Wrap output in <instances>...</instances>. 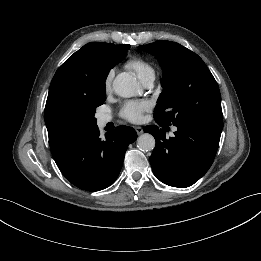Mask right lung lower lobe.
<instances>
[{"label":"right lung lower lobe","instance_id":"1","mask_svg":"<svg viewBox=\"0 0 261 261\" xmlns=\"http://www.w3.org/2000/svg\"><path fill=\"white\" fill-rule=\"evenodd\" d=\"M136 138L133 128L118 126L102 139L96 127L55 162L73 185L87 191H99L117 179L127 147Z\"/></svg>","mask_w":261,"mask_h":261}]
</instances>
